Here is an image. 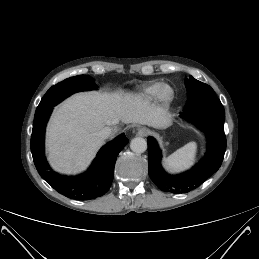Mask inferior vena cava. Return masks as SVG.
Segmentation results:
<instances>
[{
	"label": "inferior vena cava",
	"instance_id": "inferior-vena-cava-1",
	"mask_svg": "<svg viewBox=\"0 0 259 259\" xmlns=\"http://www.w3.org/2000/svg\"><path fill=\"white\" fill-rule=\"evenodd\" d=\"M112 134V129L108 126L101 129L99 132L96 133V136L101 139H107Z\"/></svg>",
	"mask_w": 259,
	"mask_h": 259
}]
</instances>
